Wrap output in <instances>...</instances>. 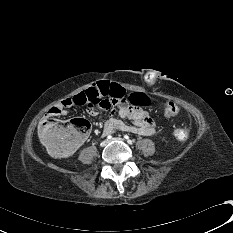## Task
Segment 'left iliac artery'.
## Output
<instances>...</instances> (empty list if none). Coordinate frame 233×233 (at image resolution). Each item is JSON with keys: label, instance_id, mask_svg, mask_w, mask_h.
I'll use <instances>...</instances> for the list:
<instances>
[{"label": "left iliac artery", "instance_id": "1", "mask_svg": "<svg viewBox=\"0 0 233 233\" xmlns=\"http://www.w3.org/2000/svg\"><path fill=\"white\" fill-rule=\"evenodd\" d=\"M124 138L127 139V142H128L129 144H132V143H133V141H132L127 135H125Z\"/></svg>", "mask_w": 233, "mask_h": 233}]
</instances>
